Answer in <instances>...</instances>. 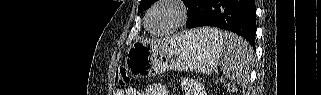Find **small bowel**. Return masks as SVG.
<instances>
[{
  "instance_id": "c3829d8e",
  "label": "small bowel",
  "mask_w": 321,
  "mask_h": 95,
  "mask_svg": "<svg viewBox=\"0 0 321 95\" xmlns=\"http://www.w3.org/2000/svg\"><path fill=\"white\" fill-rule=\"evenodd\" d=\"M127 95H168V90L162 84H152L144 92H139L136 89L130 88L126 90ZM196 95H204V91L199 87L196 91Z\"/></svg>"
}]
</instances>
